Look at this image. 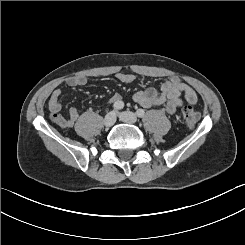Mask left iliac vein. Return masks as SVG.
<instances>
[{
	"mask_svg": "<svg viewBox=\"0 0 245 245\" xmlns=\"http://www.w3.org/2000/svg\"><path fill=\"white\" fill-rule=\"evenodd\" d=\"M119 118L125 123L134 124L137 122V116L133 112H121Z\"/></svg>",
	"mask_w": 245,
	"mask_h": 245,
	"instance_id": "left-iliac-vein-1",
	"label": "left iliac vein"
}]
</instances>
